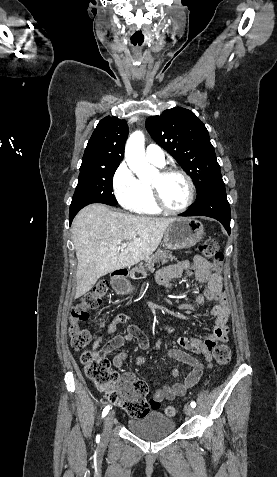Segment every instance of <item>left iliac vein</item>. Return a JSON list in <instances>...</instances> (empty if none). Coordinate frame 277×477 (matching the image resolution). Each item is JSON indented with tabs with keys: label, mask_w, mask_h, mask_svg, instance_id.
<instances>
[{
	"label": "left iliac vein",
	"mask_w": 277,
	"mask_h": 477,
	"mask_svg": "<svg viewBox=\"0 0 277 477\" xmlns=\"http://www.w3.org/2000/svg\"><path fill=\"white\" fill-rule=\"evenodd\" d=\"M184 411H185L186 415H188V416H191L194 413V409L190 405H185Z\"/></svg>",
	"instance_id": "left-iliac-vein-1"
}]
</instances>
